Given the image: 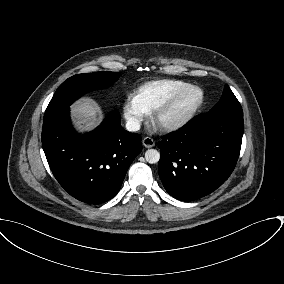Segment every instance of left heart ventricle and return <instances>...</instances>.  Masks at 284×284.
I'll return each instance as SVG.
<instances>
[{
	"instance_id": "1",
	"label": "left heart ventricle",
	"mask_w": 284,
	"mask_h": 284,
	"mask_svg": "<svg viewBox=\"0 0 284 284\" xmlns=\"http://www.w3.org/2000/svg\"><path fill=\"white\" fill-rule=\"evenodd\" d=\"M199 97H200V94L198 91L189 92L177 104V106L172 111V114L178 115V114H182L188 111L196 104V102L199 100Z\"/></svg>"
}]
</instances>
